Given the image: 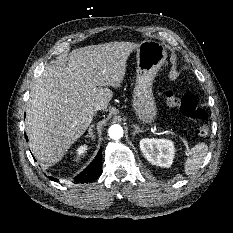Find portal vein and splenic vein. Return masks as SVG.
I'll list each match as a JSON object with an SVG mask.
<instances>
[{"instance_id": "obj_1", "label": "portal vein and splenic vein", "mask_w": 233, "mask_h": 233, "mask_svg": "<svg viewBox=\"0 0 233 233\" xmlns=\"http://www.w3.org/2000/svg\"><path fill=\"white\" fill-rule=\"evenodd\" d=\"M169 133H171V134H173L171 131H168ZM187 148H189L188 146H187Z\"/></svg>"}]
</instances>
